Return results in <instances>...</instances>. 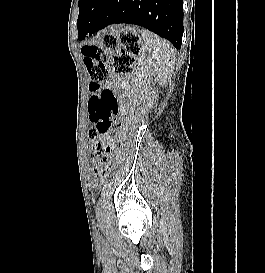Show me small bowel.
<instances>
[{
    "label": "small bowel",
    "instance_id": "obj_1",
    "mask_svg": "<svg viewBox=\"0 0 265 273\" xmlns=\"http://www.w3.org/2000/svg\"><path fill=\"white\" fill-rule=\"evenodd\" d=\"M113 87H116V85H114L113 83H111V82H108L107 84H106V88L107 89H112ZM94 140H96V138L94 139ZM93 140V141H94ZM96 149V148H95Z\"/></svg>",
    "mask_w": 265,
    "mask_h": 273
}]
</instances>
